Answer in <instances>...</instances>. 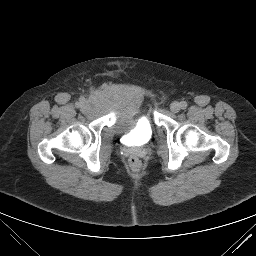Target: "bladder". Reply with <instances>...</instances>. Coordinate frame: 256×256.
Listing matches in <instances>:
<instances>
[{"label": "bladder", "mask_w": 256, "mask_h": 256, "mask_svg": "<svg viewBox=\"0 0 256 256\" xmlns=\"http://www.w3.org/2000/svg\"><path fill=\"white\" fill-rule=\"evenodd\" d=\"M95 102L114 112L113 128L122 135H129L135 144L147 143L154 136L153 121L142 112L143 96L131 89L102 91Z\"/></svg>", "instance_id": "obj_1"}]
</instances>
